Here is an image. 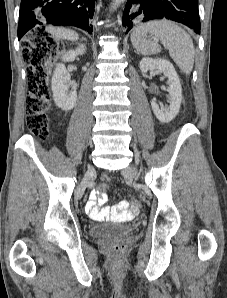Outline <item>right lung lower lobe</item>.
<instances>
[{"label": "right lung lower lobe", "instance_id": "98d812e1", "mask_svg": "<svg viewBox=\"0 0 227 298\" xmlns=\"http://www.w3.org/2000/svg\"><path fill=\"white\" fill-rule=\"evenodd\" d=\"M94 7V0H22L18 39L30 29L47 24L76 26L91 33Z\"/></svg>", "mask_w": 227, "mask_h": 298}]
</instances>
